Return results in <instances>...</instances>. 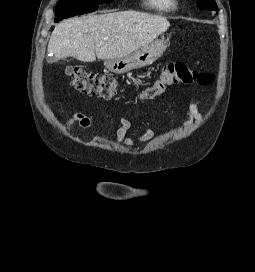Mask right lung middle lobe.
I'll use <instances>...</instances> for the list:
<instances>
[{
  "mask_svg": "<svg viewBox=\"0 0 255 272\" xmlns=\"http://www.w3.org/2000/svg\"><path fill=\"white\" fill-rule=\"evenodd\" d=\"M113 0H60L55 12V22L75 15L94 12L98 5L110 3Z\"/></svg>",
  "mask_w": 255,
  "mask_h": 272,
  "instance_id": "obj_1",
  "label": "right lung middle lobe"
}]
</instances>
